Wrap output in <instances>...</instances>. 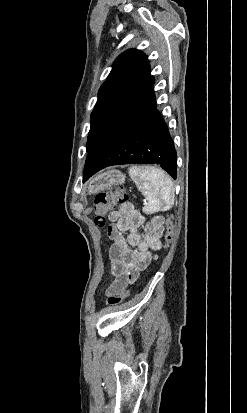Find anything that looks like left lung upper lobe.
<instances>
[{
  "label": "left lung upper lobe",
  "instance_id": "obj_1",
  "mask_svg": "<svg viewBox=\"0 0 247 413\" xmlns=\"http://www.w3.org/2000/svg\"><path fill=\"white\" fill-rule=\"evenodd\" d=\"M154 81L150 75L149 61L141 51L127 50L114 61L108 78L99 90L98 100L91 114L87 152Z\"/></svg>",
  "mask_w": 247,
  "mask_h": 413
}]
</instances>
